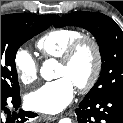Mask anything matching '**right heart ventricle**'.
Returning a JSON list of instances; mask_svg holds the SVG:
<instances>
[{
  "mask_svg": "<svg viewBox=\"0 0 123 123\" xmlns=\"http://www.w3.org/2000/svg\"><path fill=\"white\" fill-rule=\"evenodd\" d=\"M81 35L76 29H54L39 38L36 46L43 57L59 59L67 47Z\"/></svg>",
  "mask_w": 123,
  "mask_h": 123,
  "instance_id": "right-heart-ventricle-1",
  "label": "right heart ventricle"
}]
</instances>
